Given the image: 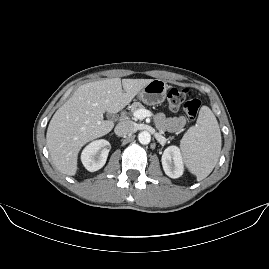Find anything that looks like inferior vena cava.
<instances>
[{"instance_id": "inferior-vena-cava-1", "label": "inferior vena cava", "mask_w": 269, "mask_h": 269, "mask_svg": "<svg viewBox=\"0 0 269 269\" xmlns=\"http://www.w3.org/2000/svg\"><path fill=\"white\" fill-rule=\"evenodd\" d=\"M137 131V125L135 122L125 120L118 123L115 127V133L118 136L131 135Z\"/></svg>"}]
</instances>
